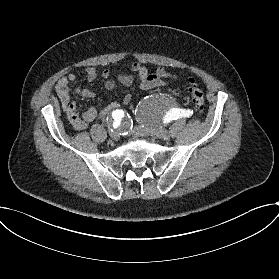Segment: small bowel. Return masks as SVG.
<instances>
[{"label": "small bowel", "mask_w": 279, "mask_h": 279, "mask_svg": "<svg viewBox=\"0 0 279 279\" xmlns=\"http://www.w3.org/2000/svg\"><path fill=\"white\" fill-rule=\"evenodd\" d=\"M131 74L119 73L117 81L124 86H131L134 82L133 74H137L140 80V86L144 90L159 87L163 85V78L178 79L177 76L170 74L165 69H157L150 73L148 69L138 62H132L129 65ZM88 81H94L98 77L104 79V86L108 90L114 89L116 81L111 78L110 71L107 69H97L88 67L85 70ZM77 80L75 73H69L67 76L60 78L55 85V92L61 102L63 111L71 123V125L78 131L85 130L88 124L97 118L99 115H104L111 110L118 109L121 106H127L132 101V95L125 93L121 102H112L109 105L102 107H89L82 115L77 112L76 104L70 98V84ZM74 92L77 96L82 98H93L94 92L85 87H76Z\"/></svg>", "instance_id": "1"}]
</instances>
